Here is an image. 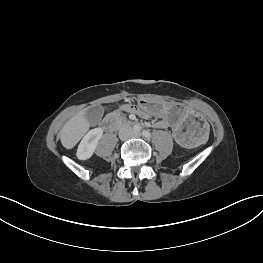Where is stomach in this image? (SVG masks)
Here are the masks:
<instances>
[{
  "mask_svg": "<svg viewBox=\"0 0 263 263\" xmlns=\"http://www.w3.org/2000/svg\"><path fill=\"white\" fill-rule=\"evenodd\" d=\"M138 104L147 116H153L173 131V138L183 147L202 144L208 137L209 121L203 114L185 110L180 103L148 101L141 98Z\"/></svg>",
  "mask_w": 263,
  "mask_h": 263,
  "instance_id": "0dacf381",
  "label": "stomach"
}]
</instances>
